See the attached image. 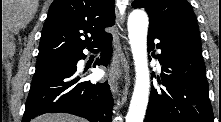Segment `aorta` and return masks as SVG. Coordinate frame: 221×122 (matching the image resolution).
Instances as JSON below:
<instances>
[{
  "instance_id": "aorta-1",
  "label": "aorta",
  "mask_w": 221,
  "mask_h": 122,
  "mask_svg": "<svg viewBox=\"0 0 221 122\" xmlns=\"http://www.w3.org/2000/svg\"><path fill=\"white\" fill-rule=\"evenodd\" d=\"M148 24V16L143 10L136 9L128 17V37L134 59L136 80L126 122H143L147 109L150 92L147 60Z\"/></svg>"
}]
</instances>
